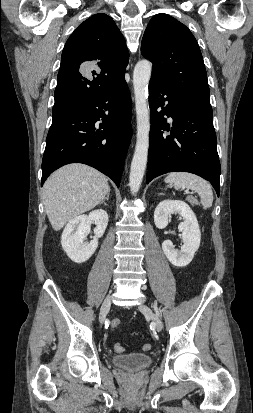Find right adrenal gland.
I'll return each mask as SVG.
<instances>
[{
	"label": "right adrenal gland",
	"mask_w": 253,
	"mask_h": 413,
	"mask_svg": "<svg viewBox=\"0 0 253 413\" xmlns=\"http://www.w3.org/2000/svg\"><path fill=\"white\" fill-rule=\"evenodd\" d=\"M110 191L107 193V196L100 202V205L105 202V200H109Z\"/></svg>",
	"instance_id": "2a0ac1e0"
}]
</instances>
